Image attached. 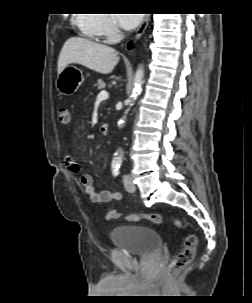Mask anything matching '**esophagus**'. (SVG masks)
Here are the masks:
<instances>
[{
    "instance_id": "obj_1",
    "label": "esophagus",
    "mask_w": 252,
    "mask_h": 303,
    "mask_svg": "<svg viewBox=\"0 0 252 303\" xmlns=\"http://www.w3.org/2000/svg\"><path fill=\"white\" fill-rule=\"evenodd\" d=\"M149 20H150V15L149 14H145L144 19L142 21V23L140 24L136 34H135V40H138L139 38H141V36L144 34L148 24H149Z\"/></svg>"
}]
</instances>
